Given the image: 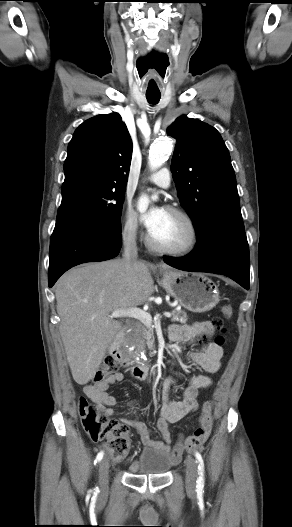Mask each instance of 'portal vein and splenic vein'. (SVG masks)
Returning a JSON list of instances; mask_svg holds the SVG:
<instances>
[{
  "mask_svg": "<svg viewBox=\"0 0 292 527\" xmlns=\"http://www.w3.org/2000/svg\"><path fill=\"white\" fill-rule=\"evenodd\" d=\"M164 316L170 318L172 315L169 312H165ZM111 318L129 317L141 321L146 326L152 325V316L150 313L145 312L139 308L133 307L129 309H117L110 315Z\"/></svg>",
  "mask_w": 292,
  "mask_h": 527,
  "instance_id": "obj_1",
  "label": "portal vein and splenic vein"
}]
</instances>
